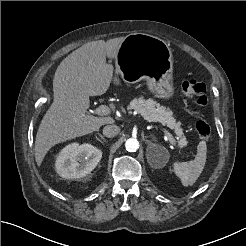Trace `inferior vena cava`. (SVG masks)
<instances>
[{
	"mask_svg": "<svg viewBox=\"0 0 246 246\" xmlns=\"http://www.w3.org/2000/svg\"><path fill=\"white\" fill-rule=\"evenodd\" d=\"M119 132L120 128L115 124L107 125L103 128V135L108 138L115 137Z\"/></svg>",
	"mask_w": 246,
	"mask_h": 246,
	"instance_id": "inferior-vena-cava-1",
	"label": "inferior vena cava"
}]
</instances>
